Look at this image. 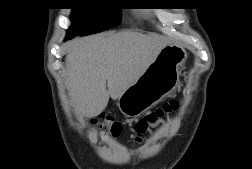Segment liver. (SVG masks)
<instances>
[{"label": "liver", "instance_id": "obj_1", "mask_svg": "<svg viewBox=\"0 0 252 169\" xmlns=\"http://www.w3.org/2000/svg\"><path fill=\"white\" fill-rule=\"evenodd\" d=\"M168 40L134 31L100 34L67 44L66 84L75 113L95 117L155 60Z\"/></svg>", "mask_w": 252, "mask_h": 169}]
</instances>
